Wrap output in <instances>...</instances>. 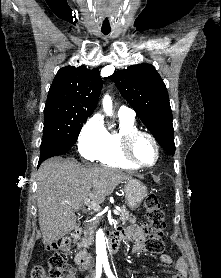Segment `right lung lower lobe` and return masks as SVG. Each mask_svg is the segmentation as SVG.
I'll return each instance as SVG.
<instances>
[{"label":"right lung lower lobe","instance_id":"right-lung-lower-lobe-1","mask_svg":"<svg viewBox=\"0 0 221 278\" xmlns=\"http://www.w3.org/2000/svg\"><path fill=\"white\" fill-rule=\"evenodd\" d=\"M69 149H70V148H67V149H64V150H61V151H58V152H55V153H52V154H49V155L40 157L39 163H38V167H39V165H40L44 160H46V159H48V158H50V157L56 156V155L64 154V153L67 152Z\"/></svg>","mask_w":221,"mask_h":278}]
</instances>
